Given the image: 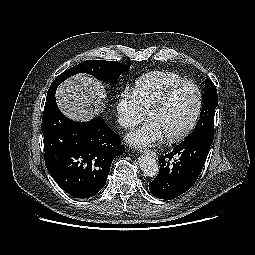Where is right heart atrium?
Returning <instances> with one entry per match:
<instances>
[{
  "instance_id": "1",
  "label": "right heart atrium",
  "mask_w": 255,
  "mask_h": 255,
  "mask_svg": "<svg viewBox=\"0 0 255 255\" xmlns=\"http://www.w3.org/2000/svg\"><path fill=\"white\" fill-rule=\"evenodd\" d=\"M147 113L140 106L133 91L124 88L119 93L116 102V117L118 123L125 129H130L142 122Z\"/></svg>"
}]
</instances>
